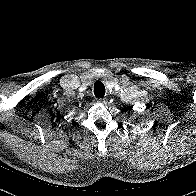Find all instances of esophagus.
Returning a JSON list of instances; mask_svg holds the SVG:
<instances>
[{
    "label": "esophagus",
    "mask_w": 196,
    "mask_h": 196,
    "mask_svg": "<svg viewBox=\"0 0 196 196\" xmlns=\"http://www.w3.org/2000/svg\"><path fill=\"white\" fill-rule=\"evenodd\" d=\"M96 100H97L98 103L104 102V98H102V97H99V98H97Z\"/></svg>",
    "instance_id": "34e87169"
}]
</instances>
